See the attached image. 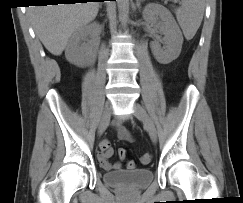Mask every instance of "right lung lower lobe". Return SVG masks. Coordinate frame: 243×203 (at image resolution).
I'll return each mask as SVG.
<instances>
[{
    "label": "right lung lower lobe",
    "mask_w": 243,
    "mask_h": 203,
    "mask_svg": "<svg viewBox=\"0 0 243 203\" xmlns=\"http://www.w3.org/2000/svg\"><path fill=\"white\" fill-rule=\"evenodd\" d=\"M41 1H43V0H41ZM48 1V0H47ZM50 1V0H49ZM52 1V0H51ZM62 2H60V3H75V1H85V0H61ZM96 1H104V0H96ZM112 1H116V0H112ZM87 3V2H86ZM43 4V3H42ZM38 5H40V4H38Z\"/></svg>",
    "instance_id": "obj_1"
}]
</instances>
